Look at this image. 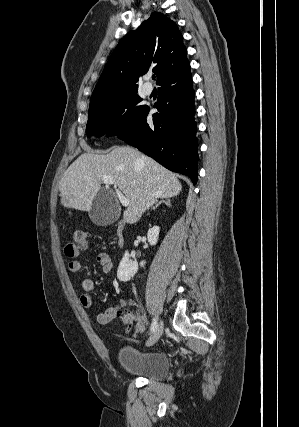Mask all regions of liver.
<instances>
[{
  "label": "liver",
  "mask_w": 299,
  "mask_h": 427,
  "mask_svg": "<svg viewBox=\"0 0 299 427\" xmlns=\"http://www.w3.org/2000/svg\"><path fill=\"white\" fill-rule=\"evenodd\" d=\"M105 177H111L129 201L123 213L129 224L136 223L158 198L174 197L182 190L176 175L155 160L129 146H117L105 155L84 153L69 166L59 183L61 204L90 211Z\"/></svg>",
  "instance_id": "1"
}]
</instances>
